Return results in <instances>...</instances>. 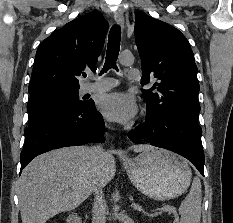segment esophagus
Here are the masks:
<instances>
[{"label": "esophagus", "mask_w": 233, "mask_h": 223, "mask_svg": "<svg viewBox=\"0 0 233 223\" xmlns=\"http://www.w3.org/2000/svg\"><path fill=\"white\" fill-rule=\"evenodd\" d=\"M114 19L116 21V23L120 26V27H124V15L121 12V10H117L114 14ZM123 158L125 157L124 154L121 155Z\"/></svg>", "instance_id": "1"}]
</instances>
